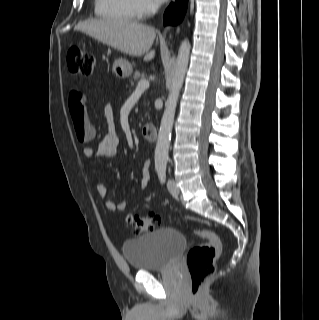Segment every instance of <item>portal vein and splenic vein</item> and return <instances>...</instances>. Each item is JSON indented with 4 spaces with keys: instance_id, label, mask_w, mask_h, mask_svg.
<instances>
[{
    "instance_id": "18ae733b",
    "label": "portal vein and splenic vein",
    "mask_w": 319,
    "mask_h": 320,
    "mask_svg": "<svg viewBox=\"0 0 319 320\" xmlns=\"http://www.w3.org/2000/svg\"><path fill=\"white\" fill-rule=\"evenodd\" d=\"M149 87V81L146 79H141L136 87V90H144Z\"/></svg>"
}]
</instances>
